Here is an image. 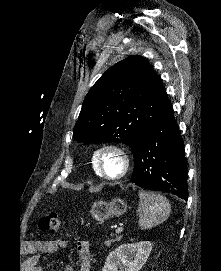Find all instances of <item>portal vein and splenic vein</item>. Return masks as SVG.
Masks as SVG:
<instances>
[{
  "instance_id": "1",
  "label": "portal vein and splenic vein",
  "mask_w": 221,
  "mask_h": 271,
  "mask_svg": "<svg viewBox=\"0 0 221 271\" xmlns=\"http://www.w3.org/2000/svg\"><path fill=\"white\" fill-rule=\"evenodd\" d=\"M133 216L136 218L138 215L135 213ZM121 231H123V227H117V229H115V233H121Z\"/></svg>"
}]
</instances>
